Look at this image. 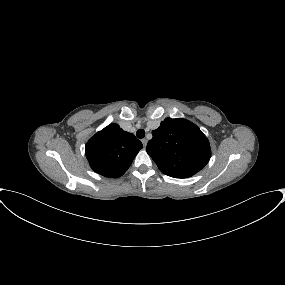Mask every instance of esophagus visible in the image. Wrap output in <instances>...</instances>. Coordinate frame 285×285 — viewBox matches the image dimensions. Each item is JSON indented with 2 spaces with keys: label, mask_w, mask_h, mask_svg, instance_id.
<instances>
[{
  "label": "esophagus",
  "mask_w": 285,
  "mask_h": 285,
  "mask_svg": "<svg viewBox=\"0 0 285 285\" xmlns=\"http://www.w3.org/2000/svg\"><path fill=\"white\" fill-rule=\"evenodd\" d=\"M142 144H143L144 147H146V145H147V139H142Z\"/></svg>",
  "instance_id": "1"
}]
</instances>
